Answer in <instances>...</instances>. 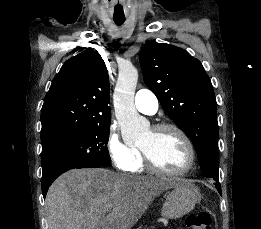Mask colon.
Instances as JSON below:
<instances>
[{
	"label": "colon",
	"mask_w": 261,
	"mask_h": 229,
	"mask_svg": "<svg viewBox=\"0 0 261 229\" xmlns=\"http://www.w3.org/2000/svg\"><path fill=\"white\" fill-rule=\"evenodd\" d=\"M211 215L206 211L192 212L186 219L187 229H212Z\"/></svg>",
	"instance_id": "obj_1"
}]
</instances>
